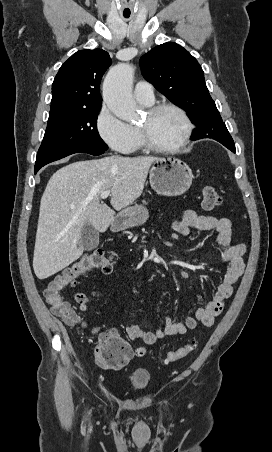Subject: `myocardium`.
Masks as SVG:
<instances>
[{"instance_id": "f54148a6", "label": "myocardium", "mask_w": 272, "mask_h": 452, "mask_svg": "<svg viewBox=\"0 0 272 452\" xmlns=\"http://www.w3.org/2000/svg\"><path fill=\"white\" fill-rule=\"evenodd\" d=\"M162 110L174 111L181 117L183 124H184V131H183L181 138L179 139V141L177 143H175L173 145H168V146L158 145L151 141V139L149 138V136L147 134L146 129L143 126L139 125L137 127V129H138V133H139L141 142H142L143 146H145L146 148H148L152 151H156V152L172 153V152L179 151L188 143V141L191 137V134L193 131L192 122H191L189 116L187 115V113L181 107H179L178 105L172 104V103H160V104L153 105L147 110V114L154 115Z\"/></svg>"}]
</instances>
